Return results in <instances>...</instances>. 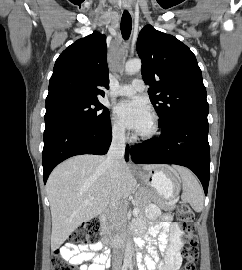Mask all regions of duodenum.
I'll return each mask as SVG.
<instances>
[{
	"label": "duodenum",
	"instance_id": "1",
	"mask_svg": "<svg viewBox=\"0 0 242 270\" xmlns=\"http://www.w3.org/2000/svg\"><path fill=\"white\" fill-rule=\"evenodd\" d=\"M109 219V213L108 212H104L100 215V221L103 224L104 230H105V240L103 241L104 243H106L107 245H109L112 248H118L121 247L124 243L130 241L133 239V237L136 234L135 232V228L133 226V228L130 230V232L124 236H114V237H110L108 235V228H107V222Z\"/></svg>",
	"mask_w": 242,
	"mask_h": 270
}]
</instances>
